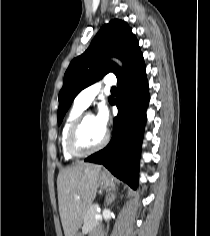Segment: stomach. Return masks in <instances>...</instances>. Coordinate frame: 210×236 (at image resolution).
<instances>
[{"mask_svg":"<svg viewBox=\"0 0 210 236\" xmlns=\"http://www.w3.org/2000/svg\"><path fill=\"white\" fill-rule=\"evenodd\" d=\"M98 184L103 188L114 186V179L111 175L106 173H100L98 177ZM80 236V235H75Z\"/></svg>","mask_w":210,"mask_h":236,"instance_id":"0dacf381","label":"stomach"}]
</instances>
